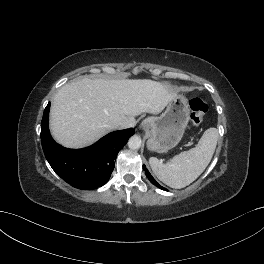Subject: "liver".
<instances>
[{"label":"liver","instance_id":"1","mask_svg":"<svg viewBox=\"0 0 264 264\" xmlns=\"http://www.w3.org/2000/svg\"><path fill=\"white\" fill-rule=\"evenodd\" d=\"M176 96L172 86L149 79L83 78L64 85L54 96L51 133L66 147H84L114 130L115 123L130 128L135 116L159 114Z\"/></svg>","mask_w":264,"mask_h":264}]
</instances>
